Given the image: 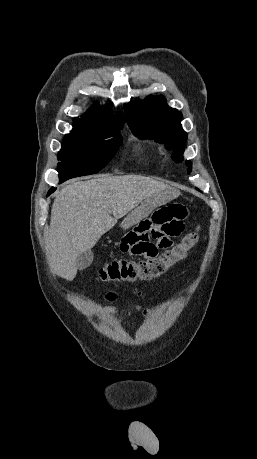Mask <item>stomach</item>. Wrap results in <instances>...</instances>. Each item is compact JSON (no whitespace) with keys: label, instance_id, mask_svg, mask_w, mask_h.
Listing matches in <instances>:
<instances>
[{"label":"stomach","instance_id":"obj_1","mask_svg":"<svg viewBox=\"0 0 257 459\" xmlns=\"http://www.w3.org/2000/svg\"><path fill=\"white\" fill-rule=\"evenodd\" d=\"M179 195V191L172 187H167L144 199L139 206L132 210L122 221L120 226L128 229L134 223H139L143 217H148L155 209V205H164Z\"/></svg>","mask_w":257,"mask_h":459}]
</instances>
